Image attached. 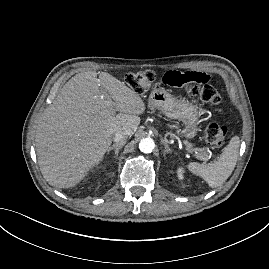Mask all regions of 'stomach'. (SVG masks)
I'll return each instance as SVG.
<instances>
[{
  "label": "stomach",
  "mask_w": 269,
  "mask_h": 269,
  "mask_svg": "<svg viewBox=\"0 0 269 269\" xmlns=\"http://www.w3.org/2000/svg\"><path fill=\"white\" fill-rule=\"evenodd\" d=\"M148 106L150 109L160 110L168 118L182 121L183 137L192 139L196 136L200 114L198 107L192 102L177 99L163 88H155L149 95Z\"/></svg>",
  "instance_id": "1"
}]
</instances>
